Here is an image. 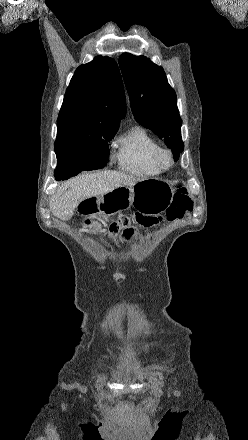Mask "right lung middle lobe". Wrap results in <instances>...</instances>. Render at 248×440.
Here are the masks:
<instances>
[{"label":"right lung middle lobe","mask_w":248,"mask_h":440,"mask_svg":"<svg viewBox=\"0 0 248 440\" xmlns=\"http://www.w3.org/2000/svg\"><path fill=\"white\" fill-rule=\"evenodd\" d=\"M115 131L95 132L78 142L55 148L57 156L56 180H65L84 170L101 169L109 155L107 141Z\"/></svg>","instance_id":"1"}]
</instances>
